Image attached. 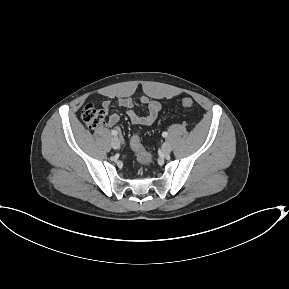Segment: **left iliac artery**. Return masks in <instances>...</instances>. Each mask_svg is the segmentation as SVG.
<instances>
[{"label": "left iliac artery", "instance_id": "44dca946", "mask_svg": "<svg viewBox=\"0 0 289 289\" xmlns=\"http://www.w3.org/2000/svg\"><path fill=\"white\" fill-rule=\"evenodd\" d=\"M162 136H163V137H167V136H168V133H167V132H163V133H162Z\"/></svg>", "mask_w": 289, "mask_h": 289}]
</instances>
